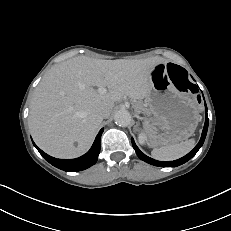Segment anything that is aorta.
<instances>
[{
    "mask_svg": "<svg viewBox=\"0 0 231 231\" xmlns=\"http://www.w3.org/2000/svg\"><path fill=\"white\" fill-rule=\"evenodd\" d=\"M114 121L118 126L126 127L131 122V115L127 110H119L114 115Z\"/></svg>",
    "mask_w": 231,
    "mask_h": 231,
    "instance_id": "obj_1",
    "label": "aorta"
}]
</instances>
